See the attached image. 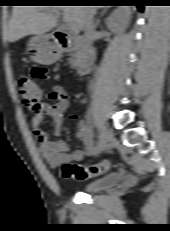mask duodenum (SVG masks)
I'll return each instance as SVG.
<instances>
[{"mask_svg": "<svg viewBox=\"0 0 170 231\" xmlns=\"http://www.w3.org/2000/svg\"><path fill=\"white\" fill-rule=\"evenodd\" d=\"M54 37L60 49L64 51L79 50L76 56L75 67L80 75L88 74L96 61L94 48L85 40L72 37L63 30L56 31Z\"/></svg>", "mask_w": 170, "mask_h": 231, "instance_id": "410a0bca", "label": "duodenum"}]
</instances>
